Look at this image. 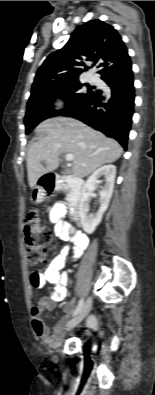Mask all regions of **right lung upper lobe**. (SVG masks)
Here are the masks:
<instances>
[{
  "label": "right lung upper lobe",
  "instance_id": "right-lung-upper-lobe-1",
  "mask_svg": "<svg viewBox=\"0 0 155 395\" xmlns=\"http://www.w3.org/2000/svg\"><path fill=\"white\" fill-rule=\"evenodd\" d=\"M85 61L98 64V73H105L131 65L127 48L118 32L101 20H90L73 32L65 46L51 53L36 73L31 96L43 88L71 80L87 70ZM30 96V97H31Z\"/></svg>",
  "mask_w": 155,
  "mask_h": 395
}]
</instances>
